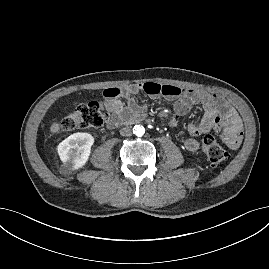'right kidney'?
<instances>
[{"label":"right kidney","instance_id":"1","mask_svg":"<svg viewBox=\"0 0 269 269\" xmlns=\"http://www.w3.org/2000/svg\"><path fill=\"white\" fill-rule=\"evenodd\" d=\"M93 143L91 134L74 133L58 145V154L67 167L76 170L88 161Z\"/></svg>","mask_w":269,"mask_h":269}]
</instances>
